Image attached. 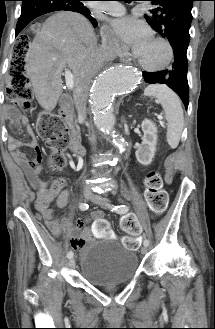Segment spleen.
I'll list each match as a JSON object with an SVG mask.
<instances>
[{
	"mask_svg": "<svg viewBox=\"0 0 215 329\" xmlns=\"http://www.w3.org/2000/svg\"><path fill=\"white\" fill-rule=\"evenodd\" d=\"M144 95L154 97L161 104L167 120V142L171 148H176L184 127V116L178 95L166 85H149Z\"/></svg>",
	"mask_w": 215,
	"mask_h": 329,
	"instance_id": "obj_1",
	"label": "spleen"
}]
</instances>
